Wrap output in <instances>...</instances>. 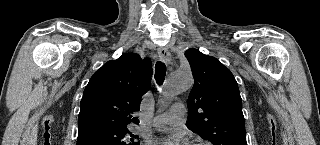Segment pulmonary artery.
<instances>
[{
    "instance_id": "obj_1",
    "label": "pulmonary artery",
    "mask_w": 320,
    "mask_h": 145,
    "mask_svg": "<svg viewBox=\"0 0 320 145\" xmlns=\"http://www.w3.org/2000/svg\"><path fill=\"white\" fill-rule=\"evenodd\" d=\"M185 106L183 104H174L169 111L157 115L151 121V125L155 127H168L179 125L185 116Z\"/></svg>"
}]
</instances>
